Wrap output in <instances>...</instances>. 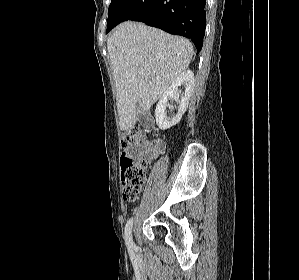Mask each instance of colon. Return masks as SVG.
<instances>
[{"mask_svg":"<svg viewBox=\"0 0 299 280\" xmlns=\"http://www.w3.org/2000/svg\"><path fill=\"white\" fill-rule=\"evenodd\" d=\"M145 141V131L140 127H133L124 131L121 139V182L122 196L125 202H134L140 194L149 165L148 158H135L131 149L140 146Z\"/></svg>","mask_w":299,"mask_h":280,"instance_id":"obj_1","label":"colon"}]
</instances>
